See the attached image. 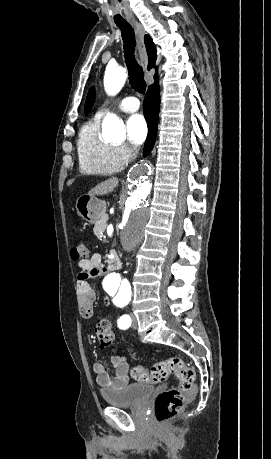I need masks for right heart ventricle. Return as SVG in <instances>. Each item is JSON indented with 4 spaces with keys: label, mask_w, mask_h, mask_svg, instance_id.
<instances>
[{
    "label": "right heart ventricle",
    "mask_w": 271,
    "mask_h": 459,
    "mask_svg": "<svg viewBox=\"0 0 271 459\" xmlns=\"http://www.w3.org/2000/svg\"><path fill=\"white\" fill-rule=\"evenodd\" d=\"M99 133V119L96 117L84 123L79 131L78 166L84 175H109L122 167L115 155V144L104 141Z\"/></svg>",
    "instance_id": "1"
}]
</instances>
